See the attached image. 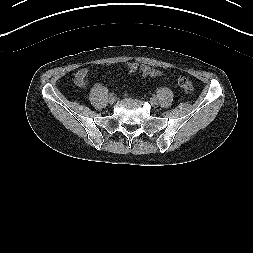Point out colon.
<instances>
[{"label": "colon", "instance_id": "colon-1", "mask_svg": "<svg viewBox=\"0 0 253 253\" xmlns=\"http://www.w3.org/2000/svg\"><path fill=\"white\" fill-rule=\"evenodd\" d=\"M177 83L185 93H191L194 90L192 82L186 77H179Z\"/></svg>", "mask_w": 253, "mask_h": 253}]
</instances>
